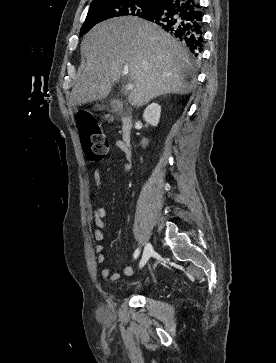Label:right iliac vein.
Masks as SVG:
<instances>
[{"instance_id": "right-iliac-vein-1", "label": "right iliac vein", "mask_w": 276, "mask_h": 363, "mask_svg": "<svg viewBox=\"0 0 276 363\" xmlns=\"http://www.w3.org/2000/svg\"><path fill=\"white\" fill-rule=\"evenodd\" d=\"M153 253H154V249H153V246L151 245V243H149V242L146 243L140 263L141 262L146 263L149 260V258L153 255Z\"/></svg>"}]
</instances>
